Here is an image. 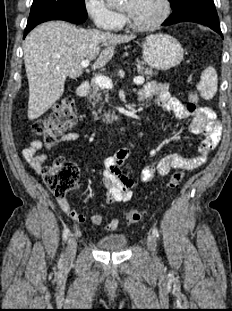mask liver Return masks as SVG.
<instances>
[{"instance_id":"1","label":"liver","mask_w":232,"mask_h":311,"mask_svg":"<svg viewBox=\"0 0 232 311\" xmlns=\"http://www.w3.org/2000/svg\"><path fill=\"white\" fill-rule=\"evenodd\" d=\"M133 39V35L79 29L60 21L36 27L26 37L23 48L29 83V120L43 115L63 95L66 77L82 75L83 60L97 58L92 68L100 69L111 60L117 44ZM102 46L106 48L101 50Z\"/></svg>"}]
</instances>
